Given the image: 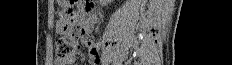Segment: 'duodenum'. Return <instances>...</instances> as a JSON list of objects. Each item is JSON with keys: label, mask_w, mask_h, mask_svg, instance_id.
Here are the masks:
<instances>
[{"label": "duodenum", "mask_w": 232, "mask_h": 65, "mask_svg": "<svg viewBox=\"0 0 232 65\" xmlns=\"http://www.w3.org/2000/svg\"><path fill=\"white\" fill-rule=\"evenodd\" d=\"M90 26H91V24H90L89 20L84 19L82 21V24H81L82 29H90Z\"/></svg>", "instance_id": "duodenum-1"}]
</instances>
